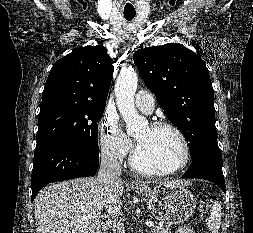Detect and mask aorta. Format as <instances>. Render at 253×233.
Here are the masks:
<instances>
[{"mask_svg":"<svg viewBox=\"0 0 253 233\" xmlns=\"http://www.w3.org/2000/svg\"><path fill=\"white\" fill-rule=\"evenodd\" d=\"M138 76L129 67L120 71L115 84V95L118 110L126 123V131L134 134L147 125V120L140 116L135 109L134 97L137 90Z\"/></svg>","mask_w":253,"mask_h":233,"instance_id":"obj_1","label":"aorta"}]
</instances>
